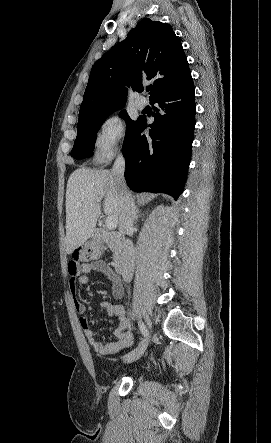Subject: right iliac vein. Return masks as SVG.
Listing matches in <instances>:
<instances>
[{
  "label": "right iliac vein",
  "instance_id": "obj_1",
  "mask_svg": "<svg viewBox=\"0 0 271 443\" xmlns=\"http://www.w3.org/2000/svg\"><path fill=\"white\" fill-rule=\"evenodd\" d=\"M146 322H147V325L149 326V328H151L152 323L148 317L146 318ZM148 342H149V338L143 339L136 349L127 353L123 357V362L124 363H132V362L138 360L144 354V352L147 348Z\"/></svg>",
  "mask_w": 271,
  "mask_h": 443
}]
</instances>
